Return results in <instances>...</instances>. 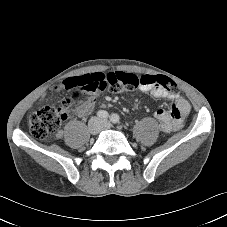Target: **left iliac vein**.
I'll list each match as a JSON object with an SVG mask.
<instances>
[{"label": "left iliac vein", "instance_id": "left-iliac-vein-1", "mask_svg": "<svg viewBox=\"0 0 227 227\" xmlns=\"http://www.w3.org/2000/svg\"><path fill=\"white\" fill-rule=\"evenodd\" d=\"M102 127L103 128H109L110 124L107 121H102Z\"/></svg>", "mask_w": 227, "mask_h": 227}]
</instances>
